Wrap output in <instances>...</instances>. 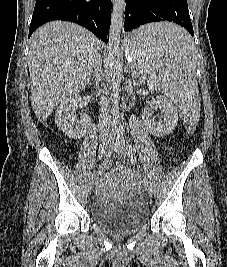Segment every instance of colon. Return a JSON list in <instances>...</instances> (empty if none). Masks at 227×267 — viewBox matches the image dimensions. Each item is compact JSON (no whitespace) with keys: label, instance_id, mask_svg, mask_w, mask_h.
Segmentation results:
<instances>
[{"label":"colon","instance_id":"colon-1","mask_svg":"<svg viewBox=\"0 0 227 267\" xmlns=\"http://www.w3.org/2000/svg\"><path fill=\"white\" fill-rule=\"evenodd\" d=\"M178 121L182 124V127L185 131H188V135H193L196 124L193 123L192 118H196V115H183L182 113L177 114Z\"/></svg>","mask_w":227,"mask_h":267}]
</instances>
